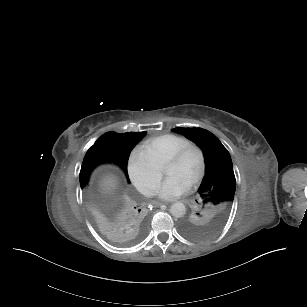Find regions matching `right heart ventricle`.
Instances as JSON below:
<instances>
[{
  "instance_id": "e07e8e85",
  "label": "right heart ventricle",
  "mask_w": 307,
  "mask_h": 307,
  "mask_svg": "<svg viewBox=\"0 0 307 307\" xmlns=\"http://www.w3.org/2000/svg\"><path fill=\"white\" fill-rule=\"evenodd\" d=\"M192 139L180 134H166L161 138V145L158 151V158L165 161L166 157L176 152L184 145L190 143Z\"/></svg>"
}]
</instances>
